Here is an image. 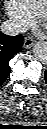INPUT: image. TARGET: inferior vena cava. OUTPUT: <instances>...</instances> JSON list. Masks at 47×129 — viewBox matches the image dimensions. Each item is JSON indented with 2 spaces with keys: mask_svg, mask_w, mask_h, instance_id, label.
<instances>
[{
  "mask_svg": "<svg viewBox=\"0 0 47 129\" xmlns=\"http://www.w3.org/2000/svg\"><path fill=\"white\" fill-rule=\"evenodd\" d=\"M1 31L10 36H15L25 32V27L17 21L6 20L0 26Z\"/></svg>",
  "mask_w": 47,
  "mask_h": 129,
  "instance_id": "inferior-vena-cava-1",
  "label": "inferior vena cava"
}]
</instances>
